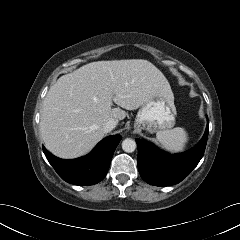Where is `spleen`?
<instances>
[{"mask_svg":"<svg viewBox=\"0 0 240 240\" xmlns=\"http://www.w3.org/2000/svg\"><path fill=\"white\" fill-rule=\"evenodd\" d=\"M156 139L165 150L178 153L185 150L190 138L184 128L176 127L157 132Z\"/></svg>","mask_w":240,"mask_h":240,"instance_id":"3e777b00","label":"spleen"}]
</instances>
